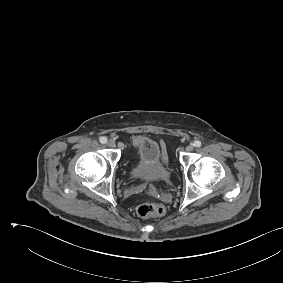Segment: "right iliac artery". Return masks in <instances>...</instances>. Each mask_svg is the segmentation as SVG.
I'll list each match as a JSON object with an SVG mask.
<instances>
[{
  "mask_svg": "<svg viewBox=\"0 0 283 283\" xmlns=\"http://www.w3.org/2000/svg\"><path fill=\"white\" fill-rule=\"evenodd\" d=\"M100 142H101L102 144L107 143V138H106V137H101V138H100Z\"/></svg>",
  "mask_w": 283,
  "mask_h": 283,
  "instance_id": "obj_1",
  "label": "right iliac artery"
}]
</instances>
